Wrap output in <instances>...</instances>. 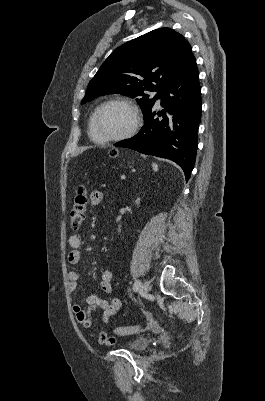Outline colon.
<instances>
[{
    "instance_id": "1",
    "label": "colon",
    "mask_w": 265,
    "mask_h": 401,
    "mask_svg": "<svg viewBox=\"0 0 265 401\" xmlns=\"http://www.w3.org/2000/svg\"><path fill=\"white\" fill-rule=\"evenodd\" d=\"M116 154V152H114ZM87 203V191L85 187L80 186L75 194L74 205L70 212V225L73 229H78L84 219L85 209ZM140 331L139 325L118 327L113 330L116 335L126 336L137 333Z\"/></svg>"
}]
</instances>
